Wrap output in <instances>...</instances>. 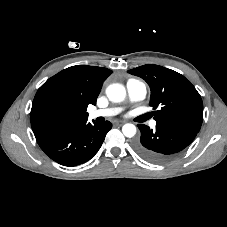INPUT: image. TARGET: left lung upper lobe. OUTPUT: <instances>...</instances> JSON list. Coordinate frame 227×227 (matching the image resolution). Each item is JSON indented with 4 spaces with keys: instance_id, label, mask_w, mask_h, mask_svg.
Instances as JSON below:
<instances>
[{
    "instance_id": "1",
    "label": "left lung upper lobe",
    "mask_w": 227,
    "mask_h": 227,
    "mask_svg": "<svg viewBox=\"0 0 227 227\" xmlns=\"http://www.w3.org/2000/svg\"><path fill=\"white\" fill-rule=\"evenodd\" d=\"M144 79L151 89L150 106L158 123L178 124L199 131L203 103L195 87L181 74L153 64L128 71Z\"/></svg>"
}]
</instances>
